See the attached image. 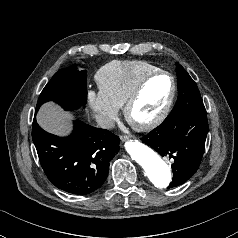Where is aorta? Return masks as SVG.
<instances>
[{"label": "aorta", "mask_w": 238, "mask_h": 238, "mask_svg": "<svg viewBox=\"0 0 238 238\" xmlns=\"http://www.w3.org/2000/svg\"><path fill=\"white\" fill-rule=\"evenodd\" d=\"M125 149L146 172L150 181L158 188H166L171 181L168 165L153 150L137 140L125 143Z\"/></svg>", "instance_id": "762f6f07"}]
</instances>
